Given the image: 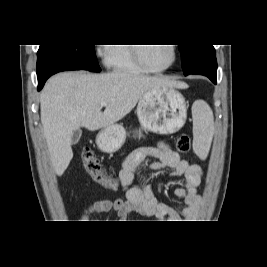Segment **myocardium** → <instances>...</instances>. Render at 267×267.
I'll use <instances>...</instances> for the list:
<instances>
[{
    "mask_svg": "<svg viewBox=\"0 0 267 267\" xmlns=\"http://www.w3.org/2000/svg\"><path fill=\"white\" fill-rule=\"evenodd\" d=\"M141 44H133L132 46V52H133V56L135 61L141 66L143 67L146 71L148 72H152V73H160V72H164L168 69H170L177 60V46H175L174 44H170L171 48H172V52H173V57L171 62L166 65L165 67L162 68H154L151 67L144 59L143 54H142V46H140Z\"/></svg>",
    "mask_w": 267,
    "mask_h": 267,
    "instance_id": "myocardium-1",
    "label": "myocardium"
}]
</instances>
